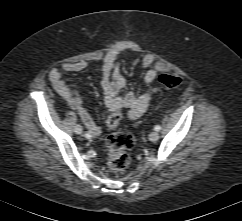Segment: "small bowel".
Instances as JSON below:
<instances>
[{
    "mask_svg": "<svg viewBox=\"0 0 242 221\" xmlns=\"http://www.w3.org/2000/svg\"><path fill=\"white\" fill-rule=\"evenodd\" d=\"M125 51H137V47L127 43H121L111 48L102 60L101 66V88L104 95V103L108 112L125 110L130 119L140 117L148 109L151 98L160 91L159 87L152 86L157 78V71L149 69L144 73L143 80L146 85L144 92L136 94L129 92L120 94L127 85L126 78L121 74V63L119 56ZM151 64L149 57H144L141 67L146 69ZM88 63L85 61L63 63L60 68H54L50 73L51 82L60 96L69 101L77 111L81 121L86 126L92 136L100 134V127L93 120L89 112L83 105L78 92L70 88L63 75L66 72H79L86 69Z\"/></svg>",
    "mask_w": 242,
    "mask_h": 221,
    "instance_id": "c3829d8e",
    "label": "small bowel"
}]
</instances>
